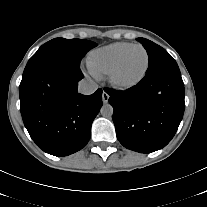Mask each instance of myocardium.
<instances>
[{
  "mask_svg": "<svg viewBox=\"0 0 207 207\" xmlns=\"http://www.w3.org/2000/svg\"><path fill=\"white\" fill-rule=\"evenodd\" d=\"M141 48L146 56V62H145V66L143 71L141 72V74L131 80V81H121L118 79L117 75L118 72L124 62V60L126 59V57L128 56V54L134 49V48ZM149 65H150V58H149V54L147 49L140 43H136V44H132L128 49H126L121 56L118 58V60L116 61V63L114 64V66L112 67V69L110 70V72L108 73V81L109 83L116 89L119 90H126V89H130L133 88L135 86H137L138 84H140L144 78L146 77L148 70H149Z\"/></svg>",
  "mask_w": 207,
  "mask_h": 207,
  "instance_id": "myocardium-1",
  "label": "myocardium"
}]
</instances>
